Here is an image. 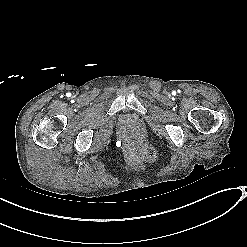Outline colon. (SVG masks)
I'll return each instance as SVG.
<instances>
[{
    "instance_id": "colon-1",
    "label": "colon",
    "mask_w": 247,
    "mask_h": 247,
    "mask_svg": "<svg viewBox=\"0 0 247 247\" xmlns=\"http://www.w3.org/2000/svg\"><path fill=\"white\" fill-rule=\"evenodd\" d=\"M140 150H141V154H142V158L149 161V162H153L156 160V151L155 149L147 144V143H141L140 144Z\"/></svg>"
}]
</instances>
